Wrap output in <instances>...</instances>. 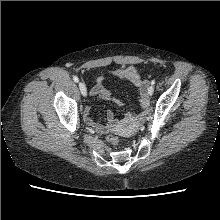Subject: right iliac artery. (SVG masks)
Wrapping results in <instances>:
<instances>
[{
    "label": "right iliac artery",
    "instance_id": "right-iliac-artery-1",
    "mask_svg": "<svg viewBox=\"0 0 220 220\" xmlns=\"http://www.w3.org/2000/svg\"><path fill=\"white\" fill-rule=\"evenodd\" d=\"M73 80H74V82H76V83L79 81V79H78L77 76H74V77H73Z\"/></svg>",
    "mask_w": 220,
    "mask_h": 220
}]
</instances>
